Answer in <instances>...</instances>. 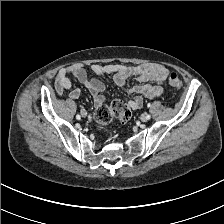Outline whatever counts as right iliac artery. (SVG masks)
<instances>
[{
  "label": "right iliac artery",
  "mask_w": 224,
  "mask_h": 224,
  "mask_svg": "<svg viewBox=\"0 0 224 224\" xmlns=\"http://www.w3.org/2000/svg\"><path fill=\"white\" fill-rule=\"evenodd\" d=\"M80 118H81V116H80L79 114H77V115H76V119L79 120Z\"/></svg>",
  "instance_id": "1"
}]
</instances>
